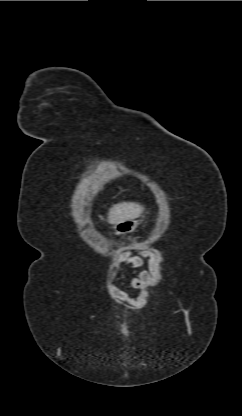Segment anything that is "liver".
<instances>
[{
    "label": "liver",
    "mask_w": 242,
    "mask_h": 416,
    "mask_svg": "<svg viewBox=\"0 0 242 416\" xmlns=\"http://www.w3.org/2000/svg\"><path fill=\"white\" fill-rule=\"evenodd\" d=\"M144 211V207L135 202H121L113 205L108 212V222L118 224L127 220L138 218Z\"/></svg>",
    "instance_id": "liver-1"
}]
</instances>
